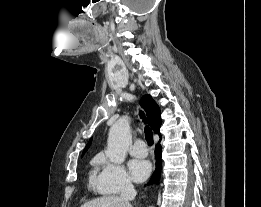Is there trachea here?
Masks as SVG:
<instances>
[{
  "mask_svg": "<svg viewBox=\"0 0 261 207\" xmlns=\"http://www.w3.org/2000/svg\"><path fill=\"white\" fill-rule=\"evenodd\" d=\"M139 115H140V118L143 119V121H144L145 123H147L146 120H145V116H144V114H143L142 111H140ZM144 132H145V138H146V141H147L148 145H149V146H152V145H153V142H154V141H153V133H152V130L150 129L149 126L146 125Z\"/></svg>",
  "mask_w": 261,
  "mask_h": 207,
  "instance_id": "3493384b",
  "label": "trachea"
}]
</instances>
